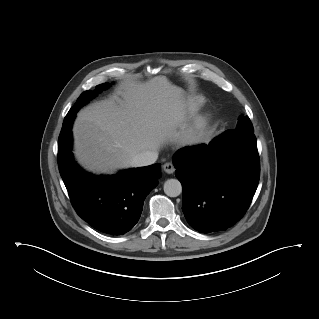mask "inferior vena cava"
I'll return each mask as SVG.
<instances>
[{"label": "inferior vena cava", "instance_id": "obj_1", "mask_svg": "<svg viewBox=\"0 0 319 319\" xmlns=\"http://www.w3.org/2000/svg\"><path fill=\"white\" fill-rule=\"evenodd\" d=\"M157 158H158V153L156 151H145L133 157L132 160L130 161V166L131 167L148 166L155 163Z\"/></svg>", "mask_w": 319, "mask_h": 319}]
</instances>
